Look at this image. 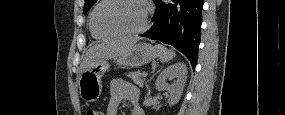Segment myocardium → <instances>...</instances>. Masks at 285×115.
Instances as JSON below:
<instances>
[{"label": "myocardium", "instance_id": "1", "mask_svg": "<svg viewBox=\"0 0 285 115\" xmlns=\"http://www.w3.org/2000/svg\"><path fill=\"white\" fill-rule=\"evenodd\" d=\"M111 1H120V0H103L101 2H99L96 7L93 9L92 13H91V21L93 26L95 27L96 30H98L99 32L103 33V34H107V35H111V36H121V37H132V36H137L142 34L143 32H145L149 26V17H150V13H151V7L148 3V1L146 0H131V1H136L138 3H140L143 6L144 9V18H143V24L142 26L132 32H123V31H117V30H113L110 28H106L104 26H102L97 19V14L98 11L100 10V8Z\"/></svg>", "mask_w": 285, "mask_h": 115}]
</instances>
